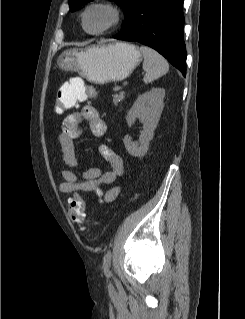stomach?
Returning a JSON list of instances; mask_svg holds the SVG:
<instances>
[{
  "label": "stomach",
  "instance_id": "stomach-1",
  "mask_svg": "<svg viewBox=\"0 0 245 319\" xmlns=\"http://www.w3.org/2000/svg\"><path fill=\"white\" fill-rule=\"evenodd\" d=\"M141 60L137 46L115 42L64 51L57 64L60 69L76 71L93 83L105 84L127 78Z\"/></svg>",
  "mask_w": 245,
  "mask_h": 319
}]
</instances>
